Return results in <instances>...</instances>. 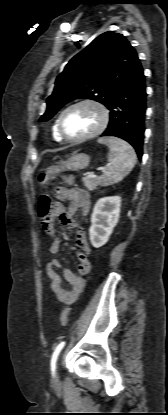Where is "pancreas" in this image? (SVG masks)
Segmentation results:
<instances>
[{"instance_id":"obj_1","label":"pancreas","mask_w":168,"mask_h":415,"mask_svg":"<svg viewBox=\"0 0 168 415\" xmlns=\"http://www.w3.org/2000/svg\"><path fill=\"white\" fill-rule=\"evenodd\" d=\"M82 181H83L85 187L89 190L95 189L98 185V179L97 178H91V177L86 176L82 179Z\"/></svg>"}]
</instances>
